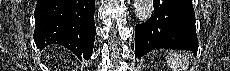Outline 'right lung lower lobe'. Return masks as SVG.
<instances>
[{"mask_svg":"<svg viewBox=\"0 0 230 71\" xmlns=\"http://www.w3.org/2000/svg\"><path fill=\"white\" fill-rule=\"evenodd\" d=\"M95 0H38L34 41L38 49L59 44L80 60L92 55Z\"/></svg>","mask_w":230,"mask_h":71,"instance_id":"right-lung-lower-lobe-1","label":"right lung lower lobe"}]
</instances>
